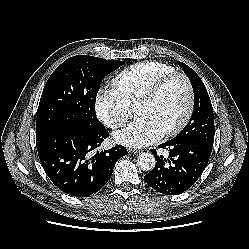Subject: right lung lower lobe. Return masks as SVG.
Here are the masks:
<instances>
[{"instance_id": "right-lung-lower-lobe-1", "label": "right lung lower lobe", "mask_w": 249, "mask_h": 249, "mask_svg": "<svg viewBox=\"0 0 249 249\" xmlns=\"http://www.w3.org/2000/svg\"><path fill=\"white\" fill-rule=\"evenodd\" d=\"M107 136L105 129L93 132L70 126L37 140L40 162L53 184L75 197L98 192L110 179L116 161L127 154L118 145L91 156Z\"/></svg>"}]
</instances>
